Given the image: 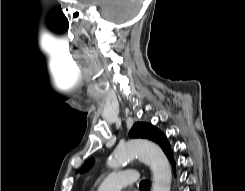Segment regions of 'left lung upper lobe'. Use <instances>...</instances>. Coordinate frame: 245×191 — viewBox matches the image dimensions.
I'll use <instances>...</instances> for the list:
<instances>
[{
	"label": "left lung upper lobe",
	"mask_w": 245,
	"mask_h": 191,
	"mask_svg": "<svg viewBox=\"0 0 245 191\" xmlns=\"http://www.w3.org/2000/svg\"><path fill=\"white\" fill-rule=\"evenodd\" d=\"M129 136L132 138H145L156 142L162 148L166 156L171 152V147L166 136L151 124L143 122L134 124L129 132ZM93 162L94 160L87 161L82 172L86 171Z\"/></svg>",
	"instance_id": "5c2ea615"
}]
</instances>
